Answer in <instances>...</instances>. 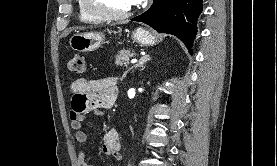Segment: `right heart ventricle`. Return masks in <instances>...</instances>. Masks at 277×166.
<instances>
[{
	"mask_svg": "<svg viewBox=\"0 0 277 166\" xmlns=\"http://www.w3.org/2000/svg\"><path fill=\"white\" fill-rule=\"evenodd\" d=\"M79 16H80V19L84 22H88V23H98L100 22L101 20L99 19H96L90 15H88L82 8L81 4H80V0H79Z\"/></svg>",
	"mask_w": 277,
	"mask_h": 166,
	"instance_id": "obj_1",
	"label": "right heart ventricle"
}]
</instances>
